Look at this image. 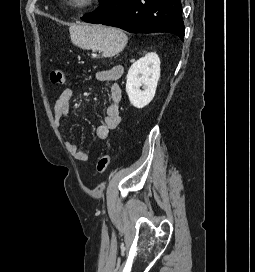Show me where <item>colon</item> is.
<instances>
[{
	"mask_svg": "<svg viewBox=\"0 0 255 272\" xmlns=\"http://www.w3.org/2000/svg\"><path fill=\"white\" fill-rule=\"evenodd\" d=\"M50 80L55 85H64L66 82L64 72L59 68H54L50 72ZM110 163V155L108 153L103 154L99 157L96 163V171L99 174L106 172Z\"/></svg>",
	"mask_w": 255,
	"mask_h": 272,
	"instance_id": "obj_1",
	"label": "colon"
}]
</instances>
